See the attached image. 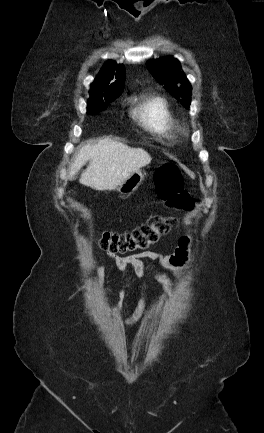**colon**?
<instances>
[{"mask_svg":"<svg viewBox=\"0 0 264 433\" xmlns=\"http://www.w3.org/2000/svg\"><path fill=\"white\" fill-rule=\"evenodd\" d=\"M157 195L170 207L189 209L193 205L185 190L182 173L173 163L161 166L154 178ZM176 220L172 217L154 216L146 224L128 233L104 232L101 247L111 254H128L146 250L157 244L169 232Z\"/></svg>","mask_w":264,"mask_h":433,"instance_id":"1","label":"colon"}]
</instances>
